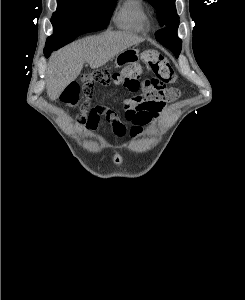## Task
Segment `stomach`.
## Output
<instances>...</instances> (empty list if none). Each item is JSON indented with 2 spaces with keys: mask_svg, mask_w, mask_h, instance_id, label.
Segmentation results:
<instances>
[{
  "mask_svg": "<svg viewBox=\"0 0 245 300\" xmlns=\"http://www.w3.org/2000/svg\"><path fill=\"white\" fill-rule=\"evenodd\" d=\"M139 60V50L136 48H128L119 53L115 58L116 67H124L127 64L136 63Z\"/></svg>",
  "mask_w": 245,
  "mask_h": 300,
  "instance_id": "stomach-1",
  "label": "stomach"
}]
</instances>
